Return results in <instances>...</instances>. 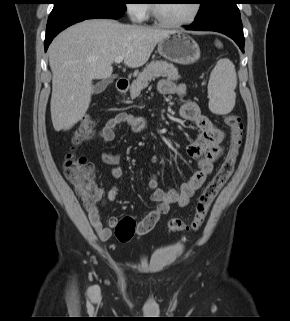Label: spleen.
<instances>
[{"instance_id": "3e777b00", "label": "spleen", "mask_w": 290, "mask_h": 321, "mask_svg": "<svg viewBox=\"0 0 290 321\" xmlns=\"http://www.w3.org/2000/svg\"><path fill=\"white\" fill-rule=\"evenodd\" d=\"M221 47V43L217 42ZM237 77L234 64L221 59L210 74L208 83L209 109L215 114H228L235 105Z\"/></svg>"}]
</instances>
